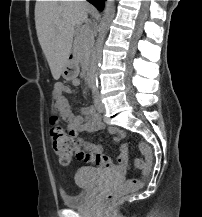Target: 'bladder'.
Returning a JSON list of instances; mask_svg holds the SVG:
<instances>
[{
	"label": "bladder",
	"mask_w": 202,
	"mask_h": 217,
	"mask_svg": "<svg viewBox=\"0 0 202 217\" xmlns=\"http://www.w3.org/2000/svg\"><path fill=\"white\" fill-rule=\"evenodd\" d=\"M104 172L93 167H81L75 174V183L79 187L76 195L62 194V203L67 207H83L92 197L93 187Z\"/></svg>",
	"instance_id": "1"
}]
</instances>
